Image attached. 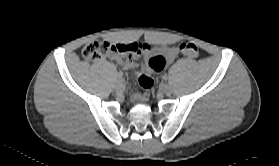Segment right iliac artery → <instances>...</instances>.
Here are the masks:
<instances>
[{"instance_id":"obj_1","label":"right iliac artery","mask_w":279,"mask_h":166,"mask_svg":"<svg viewBox=\"0 0 279 166\" xmlns=\"http://www.w3.org/2000/svg\"><path fill=\"white\" fill-rule=\"evenodd\" d=\"M117 78H118L119 80H122V78H123V73H122V72H118V73H117Z\"/></svg>"}]
</instances>
